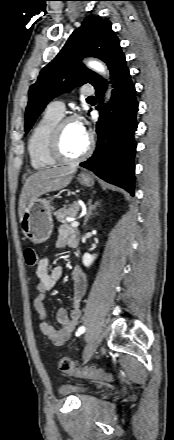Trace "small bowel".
Wrapping results in <instances>:
<instances>
[{"label":"small bowel","mask_w":174,"mask_h":440,"mask_svg":"<svg viewBox=\"0 0 174 440\" xmlns=\"http://www.w3.org/2000/svg\"><path fill=\"white\" fill-rule=\"evenodd\" d=\"M78 236L76 232L68 226H60L55 243V248L59 251L68 247H75ZM61 266H49L47 257H43L37 266L36 276L37 295L34 299V308L38 313L39 327L41 332L56 346L65 344L72 336V333L82 316V301L87 288V278L80 267L73 268L71 272L73 284L71 292V311L65 308L58 309L56 317L58 325H52L48 322L47 312L44 307V299L55 284L62 277Z\"/></svg>","instance_id":"c3829d8e"}]
</instances>
